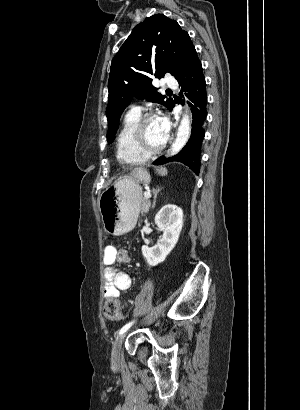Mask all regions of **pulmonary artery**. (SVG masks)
Masks as SVG:
<instances>
[{
	"label": "pulmonary artery",
	"mask_w": 300,
	"mask_h": 410,
	"mask_svg": "<svg viewBox=\"0 0 300 410\" xmlns=\"http://www.w3.org/2000/svg\"><path fill=\"white\" fill-rule=\"evenodd\" d=\"M164 84L167 87L170 88H176L177 87V81L174 77L167 75L164 77ZM130 111L138 112L140 113L141 108L139 106H132Z\"/></svg>",
	"instance_id": "pulmonary-artery-1"
}]
</instances>
